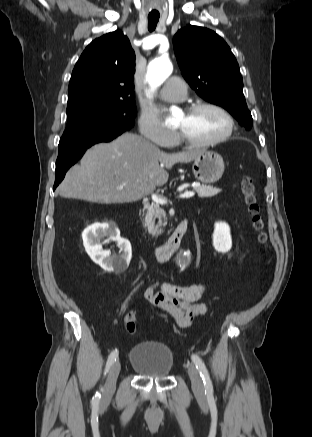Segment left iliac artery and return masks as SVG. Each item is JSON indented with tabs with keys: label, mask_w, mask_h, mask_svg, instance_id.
Here are the masks:
<instances>
[{
	"label": "left iliac artery",
	"mask_w": 312,
	"mask_h": 437,
	"mask_svg": "<svg viewBox=\"0 0 312 437\" xmlns=\"http://www.w3.org/2000/svg\"><path fill=\"white\" fill-rule=\"evenodd\" d=\"M192 361L194 362V364H195L197 370L199 371L200 376L203 380L204 387H205V394H207L208 396H212L213 395V385H212V381L210 379L208 370L205 366V363L196 354L192 355Z\"/></svg>",
	"instance_id": "obj_1"
}]
</instances>
